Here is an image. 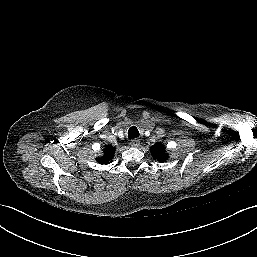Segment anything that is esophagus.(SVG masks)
Wrapping results in <instances>:
<instances>
[{
  "label": "esophagus",
  "instance_id": "34e87169",
  "mask_svg": "<svg viewBox=\"0 0 257 257\" xmlns=\"http://www.w3.org/2000/svg\"><path fill=\"white\" fill-rule=\"evenodd\" d=\"M130 145L132 147H138L140 145V141L139 139H133L131 142H130Z\"/></svg>",
  "mask_w": 257,
  "mask_h": 257
}]
</instances>
